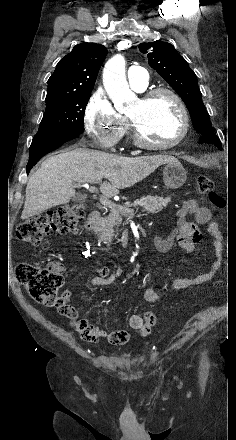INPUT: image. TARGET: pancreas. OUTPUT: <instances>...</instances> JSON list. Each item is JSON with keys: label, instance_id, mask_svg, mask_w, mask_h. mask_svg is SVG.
I'll return each instance as SVG.
<instances>
[{"label": "pancreas", "instance_id": "cf45deb5", "mask_svg": "<svg viewBox=\"0 0 236 440\" xmlns=\"http://www.w3.org/2000/svg\"><path fill=\"white\" fill-rule=\"evenodd\" d=\"M171 201L169 197L146 196L135 200L132 204L118 205L110 214L99 220L95 227V232L103 243L110 245L113 238L118 236V226L122 221V216L132 218L133 214L126 213L131 207H142L148 213H157L168 205Z\"/></svg>", "mask_w": 236, "mask_h": 440}]
</instances>
